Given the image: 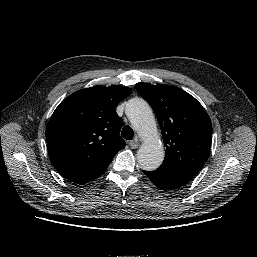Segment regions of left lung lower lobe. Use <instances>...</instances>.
<instances>
[{
	"label": "left lung lower lobe",
	"instance_id": "left-lung-lower-lobe-1",
	"mask_svg": "<svg viewBox=\"0 0 257 257\" xmlns=\"http://www.w3.org/2000/svg\"><path fill=\"white\" fill-rule=\"evenodd\" d=\"M149 179L162 190H172L179 188L189 182L193 176L164 167H159L155 171H143Z\"/></svg>",
	"mask_w": 257,
	"mask_h": 257
}]
</instances>
